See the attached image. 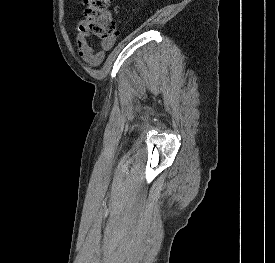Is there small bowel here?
I'll return each mask as SVG.
<instances>
[{
	"label": "small bowel",
	"instance_id": "1",
	"mask_svg": "<svg viewBox=\"0 0 275 263\" xmlns=\"http://www.w3.org/2000/svg\"><path fill=\"white\" fill-rule=\"evenodd\" d=\"M79 55L90 67L100 65L105 58V51L110 50L114 45V40L101 43V50L95 51L88 42V32L82 22L78 25L76 36Z\"/></svg>",
	"mask_w": 275,
	"mask_h": 263
}]
</instances>
